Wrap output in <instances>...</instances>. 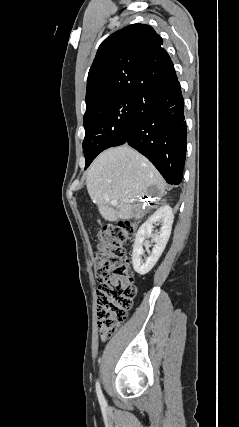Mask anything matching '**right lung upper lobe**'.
<instances>
[{
  "label": "right lung upper lobe",
  "mask_w": 239,
  "mask_h": 427,
  "mask_svg": "<svg viewBox=\"0 0 239 427\" xmlns=\"http://www.w3.org/2000/svg\"><path fill=\"white\" fill-rule=\"evenodd\" d=\"M175 78L162 38L149 25H129L99 46L87 78L86 108L103 100L139 97Z\"/></svg>",
  "instance_id": "obj_1"
}]
</instances>
